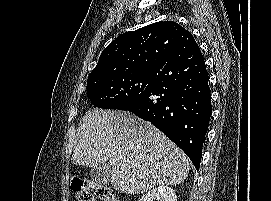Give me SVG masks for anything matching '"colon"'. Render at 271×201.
Instances as JSON below:
<instances>
[{
	"instance_id": "colon-1",
	"label": "colon",
	"mask_w": 271,
	"mask_h": 201,
	"mask_svg": "<svg viewBox=\"0 0 271 201\" xmlns=\"http://www.w3.org/2000/svg\"><path fill=\"white\" fill-rule=\"evenodd\" d=\"M71 188L77 201H94V196L101 201H121L109 186L91 179L76 178Z\"/></svg>"
}]
</instances>
